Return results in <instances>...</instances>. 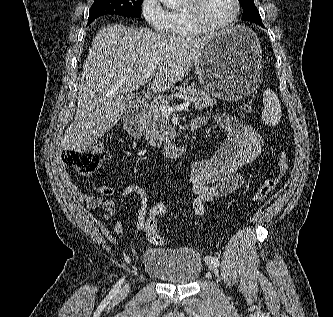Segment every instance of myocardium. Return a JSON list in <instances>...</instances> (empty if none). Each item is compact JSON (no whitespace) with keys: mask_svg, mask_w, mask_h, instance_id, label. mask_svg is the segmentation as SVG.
<instances>
[{"mask_svg":"<svg viewBox=\"0 0 333 317\" xmlns=\"http://www.w3.org/2000/svg\"><path fill=\"white\" fill-rule=\"evenodd\" d=\"M202 0H185L183 6L181 7L188 23L199 33H213L220 30H224L232 26L238 19L241 12V3L239 0H233L234 12L232 16L223 23L211 25L205 23L200 16V6Z\"/></svg>","mask_w":333,"mask_h":317,"instance_id":"obj_1","label":"myocardium"}]
</instances>
